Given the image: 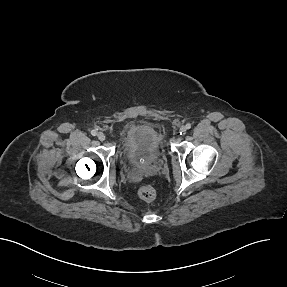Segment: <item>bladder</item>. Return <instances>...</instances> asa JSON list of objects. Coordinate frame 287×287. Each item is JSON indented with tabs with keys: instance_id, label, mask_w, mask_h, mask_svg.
<instances>
[{
	"instance_id": "1",
	"label": "bladder",
	"mask_w": 287,
	"mask_h": 287,
	"mask_svg": "<svg viewBox=\"0 0 287 287\" xmlns=\"http://www.w3.org/2000/svg\"><path fill=\"white\" fill-rule=\"evenodd\" d=\"M163 149V138L148 125H132L121 139V155L131 164L156 160Z\"/></svg>"
}]
</instances>
